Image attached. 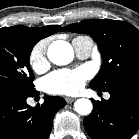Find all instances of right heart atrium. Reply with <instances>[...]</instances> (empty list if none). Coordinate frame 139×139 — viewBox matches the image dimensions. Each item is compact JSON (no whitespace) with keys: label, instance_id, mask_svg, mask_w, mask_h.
Returning a JSON list of instances; mask_svg holds the SVG:
<instances>
[{"label":"right heart atrium","instance_id":"1","mask_svg":"<svg viewBox=\"0 0 139 139\" xmlns=\"http://www.w3.org/2000/svg\"><path fill=\"white\" fill-rule=\"evenodd\" d=\"M29 62L33 70L41 71L47 65L46 58V42L40 41L36 43L30 51Z\"/></svg>","mask_w":139,"mask_h":139}]
</instances>
